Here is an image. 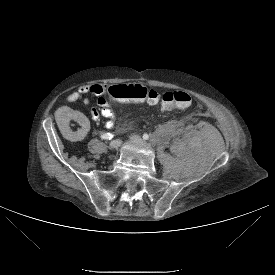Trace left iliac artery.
<instances>
[{"instance_id":"44dca946","label":"left iliac artery","mask_w":275,"mask_h":275,"mask_svg":"<svg viewBox=\"0 0 275 275\" xmlns=\"http://www.w3.org/2000/svg\"><path fill=\"white\" fill-rule=\"evenodd\" d=\"M148 138H149V135L145 133V134L143 135V139H144V140H147Z\"/></svg>"}]
</instances>
